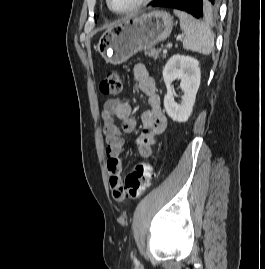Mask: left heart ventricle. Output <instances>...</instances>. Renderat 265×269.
I'll use <instances>...</instances> for the list:
<instances>
[{
  "instance_id": "b2bd125f",
  "label": "left heart ventricle",
  "mask_w": 265,
  "mask_h": 269,
  "mask_svg": "<svg viewBox=\"0 0 265 269\" xmlns=\"http://www.w3.org/2000/svg\"><path fill=\"white\" fill-rule=\"evenodd\" d=\"M115 10H125L134 6L140 0H110Z\"/></svg>"
}]
</instances>
